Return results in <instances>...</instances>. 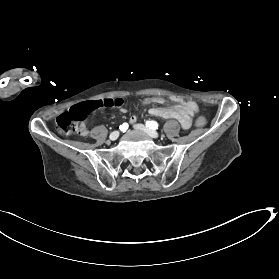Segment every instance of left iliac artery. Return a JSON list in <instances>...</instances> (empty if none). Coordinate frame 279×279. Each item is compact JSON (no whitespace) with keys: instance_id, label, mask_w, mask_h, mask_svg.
<instances>
[{"instance_id":"left-iliac-artery-1","label":"left iliac artery","mask_w":279,"mask_h":279,"mask_svg":"<svg viewBox=\"0 0 279 279\" xmlns=\"http://www.w3.org/2000/svg\"><path fill=\"white\" fill-rule=\"evenodd\" d=\"M146 126H148L150 129H157L158 123L153 120H148V121H146Z\"/></svg>"}]
</instances>
